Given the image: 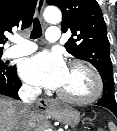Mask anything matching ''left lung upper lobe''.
Returning <instances> with one entry per match:
<instances>
[{"mask_svg":"<svg viewBox=\"0 0 117 131\" xmlns=\"http://www.w3.org/2000/svg\"><path fill=\"white\" fill-rule=\"evenodd\" d=\"M63 14L61 29L71 32L65 48L74 57L90 62L100 72L103 90L108 91L103 102L115 106L114 79L106 24L96 0H47ZM74 37V38H73Z\"/></svg>","mask_w":117,"mask_h":131,"instance_id":"1","label":"left lung upper lobe"}]
</instances>
